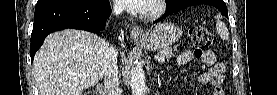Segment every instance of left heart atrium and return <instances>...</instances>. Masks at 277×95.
I'll return each mask as SVG.
<instances>
[{
	"instance_id": "obj_1",
	"label": "left heart atrium",
	"mask_w": 277,
	"mask_h": 95,
	"mask_svg": "<svg viewBox=\"0 0 277 95\" xmlns=\"http://www.w3.org/2000/svg\"><path fill=\"white\" fill-rule=\"evenodd\" d=\"M149 0H118V2L125 8L140 11L142 10L145 5L148 3Z\"/></svg>"
}]
</instances>
